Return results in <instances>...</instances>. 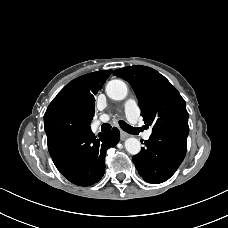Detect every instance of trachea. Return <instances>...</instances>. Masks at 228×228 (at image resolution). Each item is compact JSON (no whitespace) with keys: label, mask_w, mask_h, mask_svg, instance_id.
Returning a JSON list of instances; mask_svg holds the SVG:
<instances>
[{"label":"trachea","mask_w":228,"mask_h":228,"mask_svg":"<svg viewBox=\"0 0 228 228\" xmlns=\"http://www.w3.org/2000/svg\"><path fill=\"white\" fill-rule=\"evenodd\" d=\"M119 125L127 133H130V134H138L140 132V129L139 128L132 127V126L128 125L123 120H120L119 121ZM110 129H111V125L108 124V123H105V124H103L101 126V131L102 132H108Z\"/></svg>","instance_id":"trachea-1"}]
</instances>
